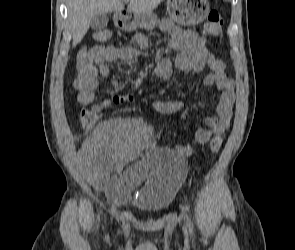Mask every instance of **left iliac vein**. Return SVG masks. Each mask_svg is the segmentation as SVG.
<instances>
[{
    "label": "left iliac vein",
    "instance_id": "4c4485c4",
    "mask_svg": "<svg viewBox=\"0 0 295 250\" xmlns=\"http://www.w3.org/2000/svg\"><path fill=\"white\" fill-rule=\"evenodd\" d=\"M184 233H185V235H188V232H187V228L186 227H184Z\"/></svg>",
    "mask_w": 295,
    "mask_h": 250
}]
</instances>
